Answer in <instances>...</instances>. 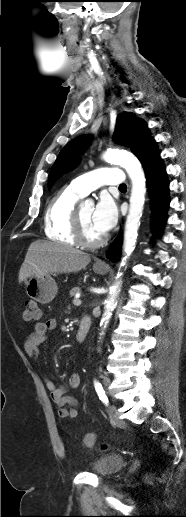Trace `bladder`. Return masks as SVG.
Returning <instances> with one entry per match:
<instances>
[{
  "mask_svg": "<svg viewBox=\"0 0 186 517\" xmlns=\"http://www.w3.org/2000/svg\"><path fill=\"white\" fill-rule=\"evenodd\" d=\"M125 464L121 455H108L100 458L94 465V473L99 476H108L119 471Z\"/></svg>",
  "mask_w": 186,
  "mask_h": 517,
  "instance_id": "obj_1",
  "label": "bladder"
}]
</instances>
